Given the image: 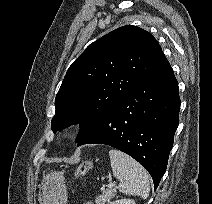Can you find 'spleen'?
I'll use <instances>...</instances> for the list:
<instances>
[{
  "label": "spleen",
  "instance_id": "spleen-1",
  "mask_svg": "<svg viewBox=\"0 0 212 204\" xmlns=\"http://www.w3.org/2000/svg\"><path fill=\"white\" fill-rule=\"evenodd\" d=\"M109 156L113 174L120 181L118 189L124 194L147 199L150 193V183L148 174L142 165L116 149H111Z\"/></svg>",
  "mask_w": 212,
  "mask_h": 204
}]
</instances>
